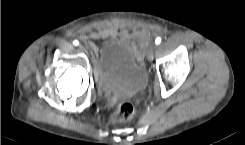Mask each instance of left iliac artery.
I'll list each match as a JSON object with an SVG mask.
<instances>
[{"mask_svg":"<svg viewBox=\"0 0 245 145\" xmlns=\"http://www.w3.org/2000/svg\"><path fill=\"white\" fill-rule=\"evenodd\" d=\"M155 43H156V45L160 44L161 43V38L157 37L156 40H155Z\"/></svg>","mask_w":245,"mask_h":145,"instance_id":"left-iliac-artery-1","label":"left iliac artery"}]
</instances>
